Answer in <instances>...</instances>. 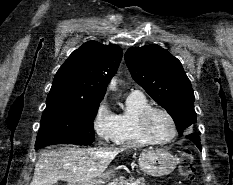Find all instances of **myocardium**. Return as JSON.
Returning a JSON list of instances; mask_svg holds the SVG:
<instances>
[{"mask_svg":"<svg viewBox=\"0 0 233 185\" xmlns=\"http://www.w3.org/2000/svg\"><path fill=\"white\" fill-rule=\"evenodd\" d=\"M154 112H161V113L165 114L171 122L172 134L170 135L169 138H167L165 140H156L155 138L152 137V135L149 131V127H148L149 118L152 115V113H154ZM139 129H140V132H141L142 136L144 137V139L148 143L154 144V145L167 144V143L171 142L177 134V125H176V121H175L173 115L165 108L157 107V106H149L141 113V115L139 117Z\"/></svg>","mask_w":233,"mask_h":185,"instance_id":"1","label":"myocardium"}]
</instances>
